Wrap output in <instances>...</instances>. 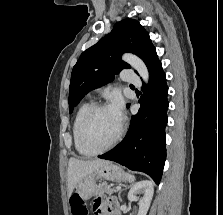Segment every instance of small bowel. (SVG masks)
I'll return each instance as SVG.
<instances>
[{"instance_id":"small-bowel-1","label":"small bowel","mask_w":223,"mask_h":215,"mask_svg":"<svg viewBox=\"0 0 223 215\" xmlns=\"http://www.w3.org/2000/svg\"><path fill=\"white\" fill-rule=\"evenodd\" d=\"M93 212L95 215H117L114 200L105 196H99L94 200Z\"/></svg>"}]
</instances>
